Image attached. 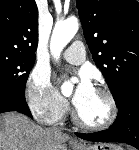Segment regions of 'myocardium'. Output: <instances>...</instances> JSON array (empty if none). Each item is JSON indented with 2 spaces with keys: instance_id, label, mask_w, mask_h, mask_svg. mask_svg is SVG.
Masks as SVG:
<instances>
[{
  "instance_id": "myocardium-1",
  "label": "myocardium",
  "mask_w": 139,
  "mask_h": 150,
  "mask_svg": "<svg viewBox=\"0 0 139 150\" xmlns=\"http://www.w3.org/2000/svg\"><path fill=\"white\" fill-rule=\"evenodd\" d=\"M94 89L96 91L100 92L101 94H103L107 99L108 106H109L108 118L101 124L93 125V124L86 123L80 117V114H79L78 109L75 104L73 105L72 116H73L74 122L79 127L83 128L85 130L103 131V130L110 128L115 123V121L118 117V112H119L118 104H117L115 96L109 89L102 87V86H97Z\"/></svg>"
}]
</instances>
